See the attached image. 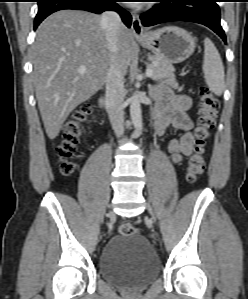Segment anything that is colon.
I'll list each match as a JSON object with an SVG mask.
<instances>
[{
    "instance_id": "1",
    "label": "colon",
    "mask_w": 248,
    "mask_h": 299,
    "mask_svg": "<svg viewBox=\"0 0 248 299\" xmlns=\"http://www.w3.org/2000/svg\"><path fill=\"white\" fill-rule=\"evenodd\" d=\"M92 110V104H82L64 127L63 139L56 148L59 170L64 176H69L74 171L72 159L78 149L80 127L89 120ZM218 110L219 101L216 95L208 87H201L199 90L197 125L194 132V151L187 164L186 179L190 183L196 182L204 170V148L210 137ZM118 230L124 236L136 234V228L128 222L120 224Z\"/></svg>"
}]
</instances>
